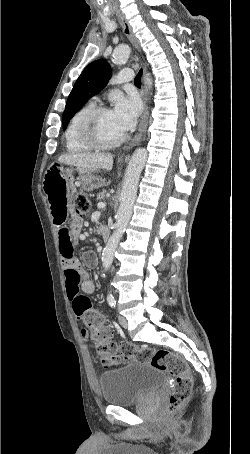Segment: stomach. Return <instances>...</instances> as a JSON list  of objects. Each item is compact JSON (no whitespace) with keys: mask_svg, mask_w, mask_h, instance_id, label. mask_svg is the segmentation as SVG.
<instances>
[{"mask_svg":"<svg viewBox=\"0 0 250 454\" xmlns=\"http://www.w3.org/2000/svg\"><path fill=\"white\" fill-rule=\"evenodd\" d=\"M81 177L82 182L84 183L85 188L94 189L100 186V178L95 176L93 172L95 169L89 168H77ZM44 176H73L71 169H64L60 164H52ZM44 187V185H43ZM44 191V190H43Z\"/></svg>","mask_w":250,"mask_h":454,"instance_id":"obj_1","label":"stomach"}]
</instances>
